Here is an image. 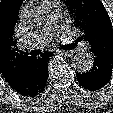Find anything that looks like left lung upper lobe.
<instances>
[{"mask_svg":"<svg viewBox=\"0 0 113 113\" xmlns=\"http://www.w3.org/2000/svg\"><path fill=\"white\" fill-rule=\"evenodd\" d=\"M76 26L83 32L79 41L91 48L113 53V29L110 17L100 0H66Z\"/></svg>","mask_w":113,"mask_h":113,"instance_id":"obj_1","label":"left lung upper lobe"}]
</instances>
